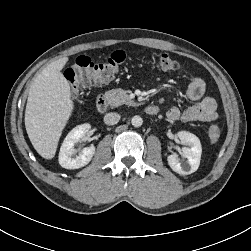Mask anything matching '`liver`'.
<instances>
[{"instance_id": "1", "label": "liver", "mask_w": 251, "mask_h": 251, "mask_svg": "<svg viewBox=\"0 0 251 251\" xmlns=\"http://www.w3.org/2000/svg\"><path fill=\"white\" fill-rule=\"evenodd\" d=\"M68 57L49 64L33 81L26 104L25 127L40 156L52 159L74 109L68 80L61 70Z\"/></svg>"}]
</instances>
